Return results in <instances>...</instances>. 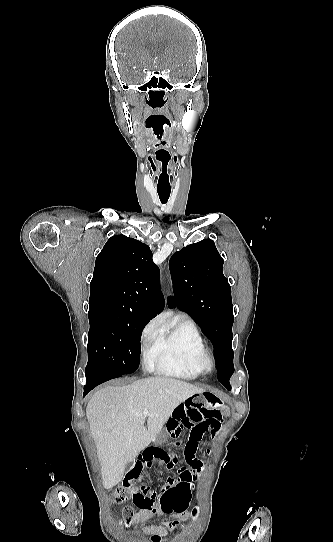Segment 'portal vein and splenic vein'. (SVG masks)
<instances>
[{"label":"portal vein and splenic vein","mask_w":333,"mask_h":542,"mask_svg":"<svg viewBox=\"0 0 333 542\" xmlns=\"http://www.w3.org/2000/svg\"><path fill=\"white\" fill-rule=\"evenodd\" d=\"M144 414H146V416H148V414H149L148 410H144Z\"/></svg>","instance_id":"18ae733b"}]
</instances>
